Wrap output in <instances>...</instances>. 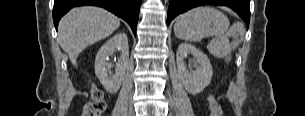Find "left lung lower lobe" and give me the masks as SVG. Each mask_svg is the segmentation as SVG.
<instances>
[{
  "label": "left lung lower lobe",
  "instance_id": "1",
  "mask_svg": "<svg viewBox=\"0 0 305 116\" xmlns=\"http://www.w3.org/2000/svg\"><path fill=\"white\" fill-rule=\"evenodd\" d=\"M205 4L231 7L246 22L248 27L250 21V0H170L167 24L169 25L171 20L178 14Z\"/></svg>",
  "mask_w": 305,
  "mask_h": 116
}]
</instances>
